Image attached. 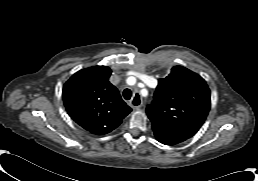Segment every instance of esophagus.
<instances>
[{
    "mask_svg": "<svg viewBox=\"0 0 258 181\" xmlns=\"http://www.w3.org/2000/svg\"><path fill=\"white\" fill-rule=\"evenodd\" d=\"M135 103H138V104H135ZM131 107L134 109V110H139L142 106V100L139 96L138 93L134 94V97L133 99L131 100V103H130Z\"/></svg>",
    "mask_w": 258,
    "mask_h": 181,
    "instance_id": "1",
    "label": "esophagus"
}]
</instances>
